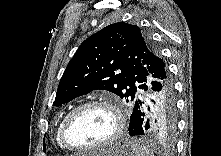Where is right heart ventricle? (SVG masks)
Returning <instances> with one entry per match:
<instances>
[{
    "label": "right heart ventricle",
    "mask_w": 221,
    "mask_h": 156,
    "mask_svg": "<svg viewBox=\"0 0 221 156\" xmlns=\"http://www.w3.org/2000/svg\"><path fill=\"white\" fill-rule=\"evenodd\" d=\"M72 109H69L67 110L63 116L60 118L58 124H57V127H56V131H55V141H56V144L57 146L62 149V150H65L66 148H64V146L61 144L60 142V129H61V126H62V123L64 121V119L66 118V116L68 115V113L71 111Z\"/></svg>",
    "instance_id": "e07e8e85"
}]
</instances>
